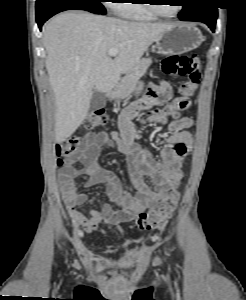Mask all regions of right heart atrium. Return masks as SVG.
Segmentation results:
<instances>
[{"instance_id":"obj_1","label":"right heart atrium","mask_w":246,"mask_h":300,"mask_svg":"<svg viewBox=\"0 0 246 300\" xmlns=\"http://www.w3.org/2000/svg\"><path fill=\"white\" fill-rule=\"evenodd\" d=\"M116 0H110V3H109V6L113 9H115V6H116Z\"/></svg>"}]
</instances>
